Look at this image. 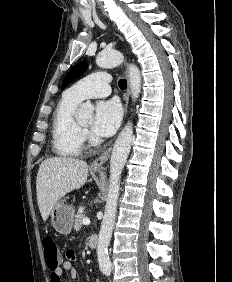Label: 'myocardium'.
Masks as SVG:
<instances>
[{
	"mask_svg": "<svg viewBox=\"0 0 232 282\" xmlns=\"http://www.w3.org/2000/svg\"><path fill=\"white\" fill-rule=\"evenodd\" d=\"M76 124H77L78 128L80 129V131L85 135L87 133V127L83 126L78 121H76Z\"/></svg>",
	"mask_w": 232,
	"mask_h": 282,
	"instance_id": "myocardium-1",
	"label": "myocardium"
}]
</instances>
